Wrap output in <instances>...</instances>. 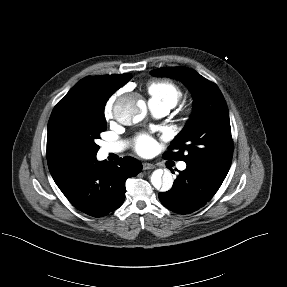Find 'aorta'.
Returning <instances> with one entry per match:
<instances>
[{
    "label": "aorta",
    "instance_id": "762f6f07",
    "mask_svg": "<svg viewBox=\"0 0 287 287\" xmlns=\"http://www.w3.org/2000/svg\"><path fill=\"white\" fill-rule=\"evenodd\" d=\"M115 119L124 125L141 121L146 114V105L136 94H128L120 97L114 108ZM151 184L155 189L168 191L172 188L173 177L168 170L157 169L151 175Z\"/></svg>",
    "mask_w": 287,
    "mask_h": 287
}]
</instances>
